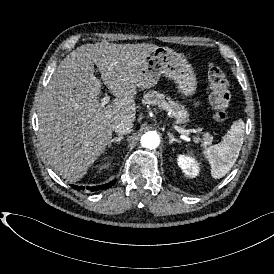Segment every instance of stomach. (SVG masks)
Masks as SVG:
<instances>
[{
  "instance_id": "obj_1",
  "label": "stomach",
  "mask_w": 274,
  "mask_h": 274,
  "mask_svg": "<svg viewBox=\"0 0 274 274\" xmlns=\"http://www.w3.org/2000/svg\"><path fill=\"white\" fill-rule=\"evenodd\" d=\"M139 88L154 86L161 75L175 84L180 99L189 101L197 93L198 77L194 67L182 54L168 47H158L138 70Z\"/></svg>"
}]
</instances>
